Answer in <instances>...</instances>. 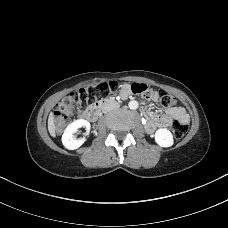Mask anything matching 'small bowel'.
Here are the masks:
<instances>
[{
	"label": "small bowel",
	"mask_w": 228,
	"mask_h": 228,
	"mask_svg": "<svg viewBox=\"0 0 228 228\" xmlns=\"http://www.w3.org/2000/svg\"><path fill=\"white\" fill-rule=\"evenodd\" d=\"M131 92L130 86L127 84H123L120 89V94L122 97H127ZM151 98L153 100H157V94L152 93ZM157 119L160 122V125L158 127H167L169 126L172 119H177L180 122L187 124L189 121V116L186 113V111L182 107L174 106L172 108H169L167 111V115H160L157 116ZM147 128V127H146ZM148 130V128H147ZM155 130V129H154ZM153 130V131H154ZM149 132H153L148 130Z\"/></svg>",
	"instance_id": "1"
}]
</instances>
